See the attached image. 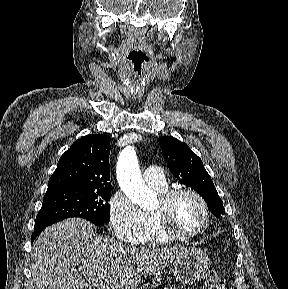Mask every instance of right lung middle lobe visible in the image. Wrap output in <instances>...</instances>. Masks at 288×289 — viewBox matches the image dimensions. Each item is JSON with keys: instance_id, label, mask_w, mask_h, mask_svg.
I'll return each mask as SVG.
<instances>
[{"instance_id": "obj_1", "label": "right lung middle lobe", "mask_w": 288, "mask_h": 289, "mask_svg": "<svg viewBox=\"0 0 288 289\" xmlns=\"http://www.w3.org/2000/svg\"><path fill=\"white\" fill-rule=\"evenodd\" d=\"M111 187L95 190H47L36 217L35 229L45 228L69 217H81L102 226L110 219Z\"/></svg>"}]
</instances>
